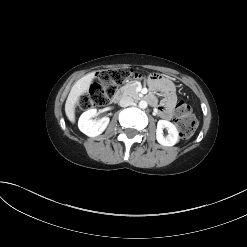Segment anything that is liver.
<instances>
[{"label":"liver","mask_w":247,"mask_h":247,"mask_svg":"<svg viewBox=\"0 0 247 247\" xmlns=\"http://www.w3.org/2000/svg\"><path fill=\"white\" fill-rule=\"evenodd\" d=\"M94 77V72L88 73L80 78L71 88L65 103V113L70 122H75V106L80 96L89 90Z\"/></svg>","instance_id":"6515ba94"}]
</instances>
